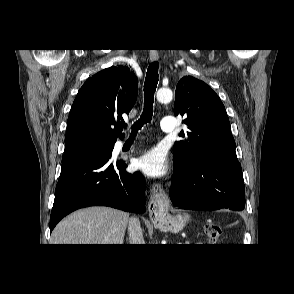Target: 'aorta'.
Segmentation results:
<instances>
[{
  "label": "aorta",
  "mask_w": 294,
  "mask_h": 294,
  "mask_svg": "<svg viewBox=\"0 0 294 294\" xmlns=\"http://www.w3.org/2000/svg\"><path fill=\"white\" fill-rule=\"evenodd\" d=\"M157 100L161 103H168L173 98V93L168 88H161L157 91Z\"/></svg>",
  "instance_id": "1"
}]
</instances>
